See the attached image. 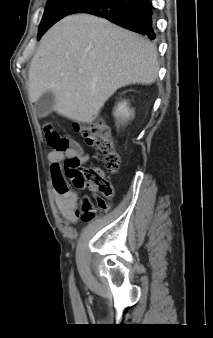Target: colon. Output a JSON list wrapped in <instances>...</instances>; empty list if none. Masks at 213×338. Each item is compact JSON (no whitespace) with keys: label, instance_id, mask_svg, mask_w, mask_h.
Listing matches in <instances>:
<instances>
[{"label":"colon","instance_id":"colon-1","mask_svg":"<svg viewBox=\"0 0 213 338\" xmlns=\"http://www.w3.org/2000/svg\"><path fill=\"white\" fill-rule=\"evenodd\" d=\"M79 131L88 146L97 150L103 157L106 168L115 173L119 167V156L115 150L111 135L100 120L78 125ZM70 147L67 137H62L57 150L64 152ZM53 186L60 190L68 186L77 189L87 188L93 194L104 198L114 196V186L105 177L104 170L99 166L83 168L77 157L63 159V163H53L51 168ZM108 204L101 200L97 207H88L83 215L86 220H91L108 210Z\"/></svg>","mask_w":213,"mask_h":338}]
</instances>
